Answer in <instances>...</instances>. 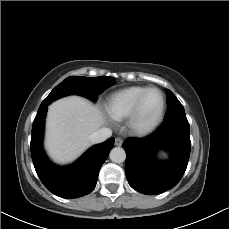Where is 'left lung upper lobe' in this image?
Here are the masks:
<instances>
[{
	"label": "left lung upper lobe",
	"instance_id": "left-lung-upper-lobe-1",
	"mask_svg": "<svg viewBox=\"0 0 229 229\" xmlns=\"http://www.w3.org/2000/svg\"><path fill=\"white\" fill-rule=\"evenodd\" d=\"M167 95V112L165 116V121L174 119L177 117H186L185 110L176 96L169 90H166Z\"/></svg>",
	"mask_w": 229,
	"mask_h": 229
}]
</instances>
